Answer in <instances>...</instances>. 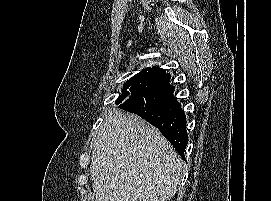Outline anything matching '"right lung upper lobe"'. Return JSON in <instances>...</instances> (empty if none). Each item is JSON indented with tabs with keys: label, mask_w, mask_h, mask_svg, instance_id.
Instances as JSON below:
<instances>
[{
	"label": "right lung upper lobe",
	"mask_w": 271,
	"mask_h": 201,
	"mask_svg": "<svg viewBox=\"0 0 271 201\" xmlns=\"http://www.w3.org/2000/svg\"><path fill=\"white\" fill-rule=\"evenodd\" d=\"M151 69H152V68H151ZM151 69H148V72H150ZM143 71L147 72V69H145V70H143Z\"/></svg>",
	"instance_id": "1"
}]
</instances>
